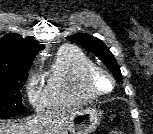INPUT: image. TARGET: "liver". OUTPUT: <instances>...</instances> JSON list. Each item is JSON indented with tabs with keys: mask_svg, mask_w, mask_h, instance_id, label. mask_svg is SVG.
Listing matches in <instances>:
<instances>
[{
	"mask_svg": "<svg viewBox=\"0 0 153 134\" xmlns=\"http://www.w3.org/2000/svg\"><path fill=\"white\" fill-rule=\"evenodd\" d=\"M77 109L70 108L39 115L26 122L0 121V134H66Z\"/></svg>",
	"mask_w": 153,
	"mask_h": 134,
	"instance_id": "obj_1",
	"label": "liver"
}]
</instances>
